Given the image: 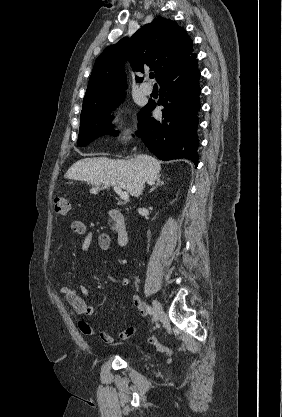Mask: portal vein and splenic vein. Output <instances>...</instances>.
Here are the masks:
<instances>
[{"mask_svg": "<svg viewBox=\"0 0 282 417\" xmlns=\"http://www.w3.org/2000/svg\"><path fill=\"white\" fill-rule=\"evenodd\" d=\"M115 192H117V194H119L120 198H122V200H128L129 198V194L128 192H126V190H122V188H120V186H113Z\"/></svg>", "mask_w": 282, "mask_h": 417, "instance_id": "obj_1", "label": "portal vein and splenic vein"}]
</instances>
